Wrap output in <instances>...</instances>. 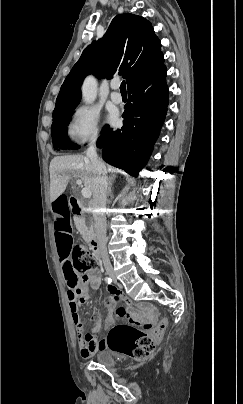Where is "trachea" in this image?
Masks as SVG:
<instances>
[{
    "instance_id": "3493384b",
    "label": "trachea",
    "mask_w": 243,
    "mask_h": 404,
    "mask_svg": "<svg viewBox=\"0 0 243 404\" xmlns=\"http://www.w3.org/2000/svg\"><path fill=\"white\" fill-rule=\"evenodd\" d=\"M120 90H121V91H126V82H125V80H123V81L121 82Z\"/></svg>"
}]
</instances>
